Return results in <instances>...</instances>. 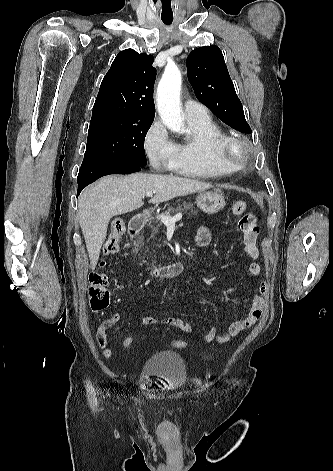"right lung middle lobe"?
Segmentation results:
<instances>
[{
	"label": "right lung middle lobe",
	"mask_w": 333,
	"mask_h": 471,
	"mask_svg": "<svg viewBox=\"0 0 333 471\" xmlns=\"http://www.w3.org/2000/svg\"><path fill=\"white\" fill-rule=\"evenodd\" d=\"M153 119L122 114L92 117L83 163L146 165L144 139Z\"/></svg>",
	"instance_id": "obj_1"
}]
</instances>
